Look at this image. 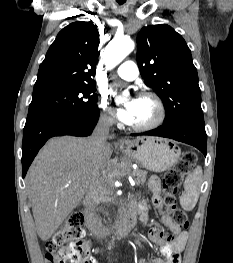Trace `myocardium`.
<instances>
[{"label":"myocardium","instance_id":"f54148a6","mask_svg":"<svg viewBox=\"0 0 233 263\" xmlns=\"http://www.w3.org/2000/svg\"><path fill=\"white\" fill-rule=\"evenodd\" d=\"M138 98L150 99L156 107V115L150 122L139 125H131L130 128L137 132H145L159 127L166 118V108L162 99L156 93L151 91L140 93Z\"/></svg>","mask_w":233,"mask_h":263}]
</instances>
